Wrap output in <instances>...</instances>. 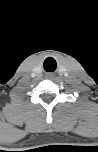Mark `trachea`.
<instances>
[{"mask_svg":"<svg viewBox=\"0 0 98 152\" xmlns=\"http://www.w3.org/2000/svg\"><path fill=\"white\" fill-rule=\"evenodd\" d=\"M48 59L53 60L52 58H48ZM49 67H50V65H49V64H47V62H46V63L44 64V68H45V70H46V71H48V70H47V68H49Z\"/></svg>","mask_w":98,"mask_h":152,"instance_id":"trachea-1","label":"trachea"}]
</instances>
